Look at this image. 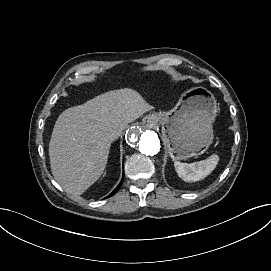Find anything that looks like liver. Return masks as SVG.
<instances>
[{"mask_svg":"<svg viewBox=\"0 0 271 271\" xmlns=\"http://www.w3.org/2000/svg\"><path fill=\"white\" fill-rule=\"evenodd\" d=\"M151 109L137 91L124 88L63 111L49 143L55 180L66 192L81 195L103 173L115 140L111 136Z\"/></svg>","mask_w":271,"mask_h":271,"instance_id":"6515ba94","label":"liver"}]
</instances>
